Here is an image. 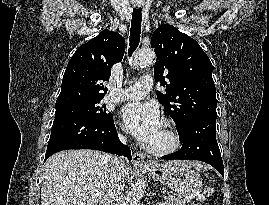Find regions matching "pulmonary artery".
Instances as JSON below:
<instances>
[{"instance_id": "1", "label": "pulmonary artery", "mask_w": 269, "mask_h": 205, "mask_svg": "<svg viewBox=\"0 0 269 205\" xmlns=\"http://www.w3.org/2000/svg\"><path fill=\"white\" fill-rule=\"evenodd\" d=\"M152 86H153L152 78L142 77L134 85L110 93L107 99L110 101L140 99L144 97L152 89Z\"/></svg>"}]
</instances>
